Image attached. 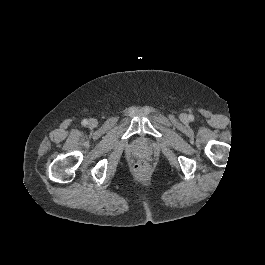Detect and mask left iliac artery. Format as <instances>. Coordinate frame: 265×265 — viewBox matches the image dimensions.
Wrapping results in <instances>:
<instances>
[{
    "label": "left iliac artery",
    "instance_id": "1",
    "mask_svg": "<svg viewBox=\"0 0 265 265\" xmlns=\"http://www.w3.org/2000/svg\"><path fill=\"white\" fill-rule=\"evenodd\" d=\"M193 119H194V116L193 115H189V120L193 121Z\"/></svg>",
    "mask_w": 265,
    "mask_h": 265
}]
</instances>
